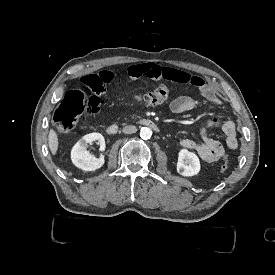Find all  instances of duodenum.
Segmentation results:
<instances>
[{"label":"duodenum","mask_w":275,"mask_h":275,"mask_svg":"<svg viewBox=\"0 0 275 275\" xmlns=\"http://www.w3.org/2000/svg\"><path fill=\"white\" fill-rule=\"evenodd\" d=\"M139 124L152 129L154 132H159L160 130L158 125L151 119L143 118L139 120ZM118 131H119V126L117 124H110L107 127V133L109 135H115Z\"/></svg>","instance_id":"410a0bca"}]
</instances>
